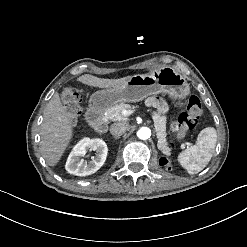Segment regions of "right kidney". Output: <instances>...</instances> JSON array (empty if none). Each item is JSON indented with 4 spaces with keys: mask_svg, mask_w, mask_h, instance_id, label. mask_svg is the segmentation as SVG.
Listing matches in <instances>:
<instances>
[{
    "mask_svg": "<svg viewBox=\"0 0 247 247\" xmlns=\"http://www.w3.org/2000/svg\"><path fill=\"white\" fill-rule=\"evenodd\" d=\"M89 149L94 150L95 155L90 160H84L81 157L85 156ZM107 152V145L104 141L84 137L73 146L66 160L65 169L77 176L91 175L104 164Z\"/></svg>",
    "mask_w": 247,
    "mask_h": 247,
    "instance_id": "1",
    "label": "right kidney"
}]
</instances>
